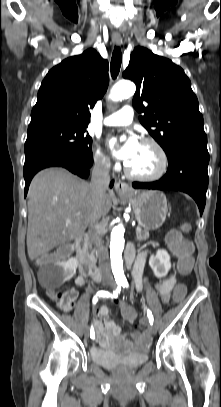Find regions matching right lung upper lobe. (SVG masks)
Returning <instances> with one entry per match:
<instances>
[{
  "instance_id": "1",
  "label": "right lung upper lobe",
  "mask_w": 221,
  "mask_h": 407,
  "mask_svg": "<svg viewBox=\"0 0 221 407\" xmlns=\"http://www.w3.org/2000/svg\"><path fill=\"white\" fill-rule=\"evenodd\" d=\"M108 61L94 49L63 60L44 78L28 128L51 124L88 126L89 108L107 90Z\"/></svg>"
}]
</instances>
